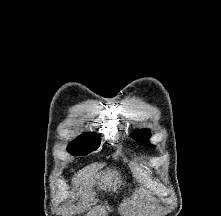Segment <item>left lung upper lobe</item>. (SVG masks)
Segmentation results:
<instances>
[{"instance_id": "obj_1", "label": "left lung upper lobe", "mask_w": 221, "mask_h": 216, "mask_svg": "<svg viewBox=\"0 0 221 216\" xmlns=\"http://www.w3.org/2000/svg\"><path fill=\"white\" fill-rule=\"evenodd\" d=\"M150 135V131L149 130H140L137 133L133 134L132 137L138 141V142H142L147 146H153L149 143L148 140V136ZM154 147V146H153Z\"/></svg>"}]
</instances>
